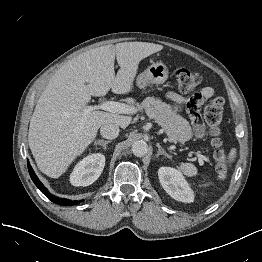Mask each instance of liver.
<instances>
[{
    "instance_id": "liver-1",
    "label": "liver",
    "mask_w": 262,
    "mask_h": 262,
    "mask_svg": "<svg viewBox=\"0 0 262 262\" xmlns=\"http://www.w3.org/2000/svg\"><path fill=\"white\" fill-rule=\"evenodd\" d=\"M162 45L123 42L86 51L64 64L39 97L30 120L28 142L39 170L60 177L96 138L103 124L125 129L132 114L119 115L93 110L84 115L91 96L133 91L140 61L161 51ZM115 57L120 69L115 75ZM135 111V100L126 99Z\"/></svg>"
}]
</instances>
